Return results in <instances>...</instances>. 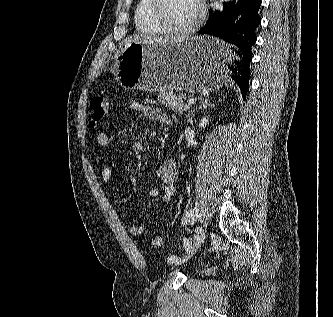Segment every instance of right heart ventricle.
Segmentation results:
<instances>
[{
	"instance_id": "e07e8e85",
	"label": "right heart ventricle",
	"mask_w": 333,
	"mask_h": 317,
	"mask_svg": "<svg viewBox=\"0 0 333 317\" xmlns=\"http://www.w3.org/2000/svg\"><path fill=\"white\" fill-rule=\"evenodd\" d=\"M150 0H139L134 13L137 30L148 36L161 35L163 31L156 25L149 13Z\"/></svg>"
}]
</instances>
